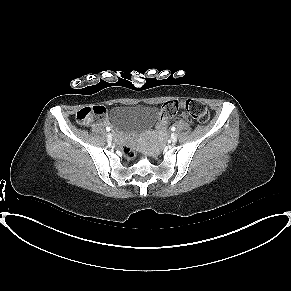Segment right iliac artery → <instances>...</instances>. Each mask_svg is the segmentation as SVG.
I'll use <instances>...</instances> for the list:
<instances>
[{"label":"right iliac artery","mask_w":291,"mask_h":291,"mask_svg":"<svg viewBox=\"0 0 291 291\" xmlns=\"http://www.w3.org/2000/svg\"><path fill=\"white\" fill-rule=\"evenodd\" d=\"M106 130H107V131H110V128H109V127H106Z\"/></svg>","instance_id":"obj_1"}]
</instances>
